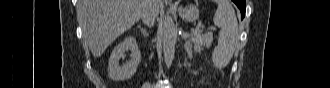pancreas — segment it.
Segmentation results:
<instances>
[{"instance_id":"pancreas-1","label":"pancreas","mask_w":330,"mask_h":88,"mask_svg":"<svg viewBox=\"0 0 330 88\" xmlns=\"http://www.w3.org/2000/svg\"><path fill=\"white\" fill-rule=\"evenodd\" d=\"M212 35L210 33L200 34L199 32L192 33L190 41L193 43L194 49L201 51L204 48L209 49L212 44Z\"/></svg>"}]
</instances>
